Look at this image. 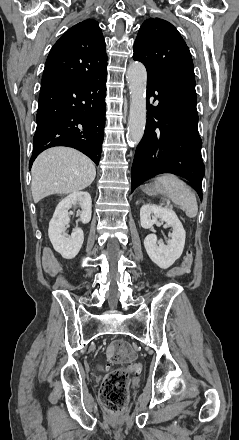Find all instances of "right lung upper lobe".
<instances>
[{"instance_id": "1", "label": "right lung upper lobe", "mask_w": 239, "mask_h": 440, "mask_svg": "<svg viewBox=\"0 0 239 440\" xmlns=\"http://www.w3.org/2000/svg\"><path fill=\"white\" fill-rule=\"evenodd\" d=\"M107 71L105 41L93 19L84 20L54 44L47 57L42 84L89 79Z\"/></svg>"}]
</instances>
